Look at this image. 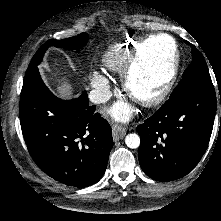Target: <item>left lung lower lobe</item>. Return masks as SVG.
Instances as JSON below:
<instances>
[{
	"mask_svg": "<svg viewBox=\"0 0 221 221\" xmlns=\"http://www.w3.org/2000/svg\"><path fill=\"white\" fill-rule=\"evenodd\" d=\"M216 102L213 85L190 84L137 127L139 163L146 175L166 182L194 169L211 137Z\"/></svg>",
	"mask_w": 221,
	"mask_h": 221,
	"instance_id": "left-lung-lower-lobe-1",
	"label": "left lung lower lobe"
}]
</instances>
